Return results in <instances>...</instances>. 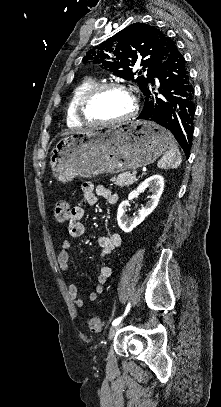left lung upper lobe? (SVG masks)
<instances>
[{
  "label": "left lung upper lobe",
  "mask_w": 221,
  "mask_h": 407,
  "mask_svg": "<svg viewBox=\"0 0 221 407\" xmlns=\"http://www.w3.org/2000/svg\"><path fill=\"white\" fill-rule=\"evenodd\" d=\"M172 43L157 27L134 23L89 50L83 62L91 61L126 80H133L132 67L140 63L144 71L148 68L147 75L138 77L135 82L145 94L158 67L167 58Z\"/></svg>",
  "instance_id": "left-lung-upper-lobe-1"
}]
</instances>
